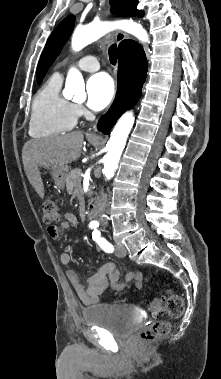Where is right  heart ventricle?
<instances>
[{
    "mask_svg": "<svg viewBox=\"0 0 221 379\" xmlns=\"http://www.w3.org/2000/svg\"><path fill=\"white\" fill-rule=\"evenodd\" d=\"M62 77L51 76L35 95L29 119L32 137H51L72 130L77 116L74 104L61 94Z\"/></svg>",
    "mask_w": 221,
    "mask_h": 379,
    "instance_id": "e07e8e85",
    "label": "right heart ventricle"
}]
</instances>
